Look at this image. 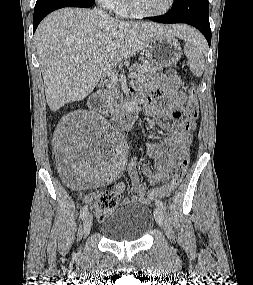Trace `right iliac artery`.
Here are the masks:
<instances>
[{
  "label": "right iliac artery",
  "instance_id": "82829eb1",
  "mask_svg": "<svg viewBox=\"0 0 253 285\" xmlns=\"http://www.w3.org/2000/svg\"><path fill=\"white\" fill-rule=\"evenodd\" d=\"M87 212H88V206L85 205V206H83L82 209H81L80 217L83 219V218L86 216Z\"/></svg>",
  "mask_w": 253,
  "mask_h": 285
}]
</instances>
